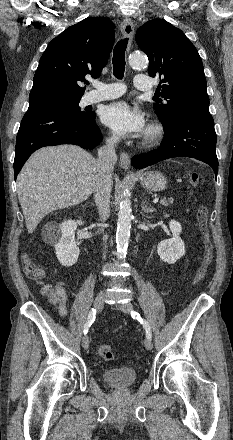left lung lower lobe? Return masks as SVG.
<instances>
[{"mask_svg": "<svg viewBox=\"0 0 233 440\" xmlns=\"http://www.w3.org/2000/svg\"><path fill=\"white\" fill-rule=\"evenodd\" d=\"M172 157H192L210 165L218 172L216 133L209 111L186 110L178 114L173 124L164 128V140L159 148L136 155L132 164L142 169Z\"/></svg>", "mask_w": 233, "mask_h": 440, "instance_id": "obj_1", "label": "left lung lower lobe"}]
</instances>
